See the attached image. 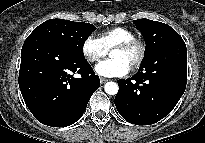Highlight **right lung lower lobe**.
<instances>
[{
    "mask_svg": "<svg viewBox=\"0 0 205 143\" xmlns=\"http://www.w3.org/2000/svg\"><path fill=\"white\" fill-rule=\"evenodd\" d=\"M99 86V77L84 56L46 37L30 35L25 40L19 87L28 109L42 124L75 123Z\"/></svg>",
    "mask_w": 205,
    "mask_h": 143,
    "instance_id": "98d812e1",
    "label": "right lung lower lobe"
}]
</instances>
